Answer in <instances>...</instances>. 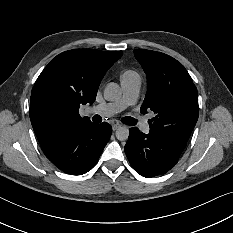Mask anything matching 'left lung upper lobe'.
Segmentation results:
<instances>
[{"label":"left lung upper lobe","instance_id":"1","mask_svg":"<svg viewBox=\"0 0 233 233\" xmlns=\"http://www.w3.org/2000/svg\"><path fill=\"white\" fill-rule=\"evenodd\" d=\"M147 75L142 113L152 110V135L187 143L199 115L197 89L184 66L161 52L134 50ZM151 123V122H150Z\"/></svg>","mask_w":233,"mask_h":233}]
</instances>
